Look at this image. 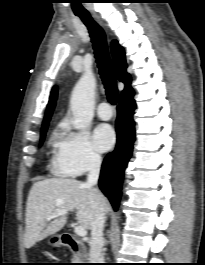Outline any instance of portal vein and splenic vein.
Here are the masks:
<instances>
[{
  "label": "portal vein and splenic vein",
  "instance_id": "portal-vein-and-splenic-vein-1",
  "mask_svg": "<svg viewBox=\"0 0 205 265\" xmlns=\"http://www.w3.org/2000/svg\"><path fill=\"white\" fill-rule=\"evenodd\" d=\"M67 213H68L67 210H58V211H56V212H54V213L48 215V217H47V221H50L51 219H54V218H56V217H58V216L66 215ZM74 231H75V233H76L78 236H80V237H84V236H86V234H87L85 228L82 227V226H75V227H74Z\"/></svg>",
  "mask_w": 205,
  "mask_h": 265
}]
</instances>
